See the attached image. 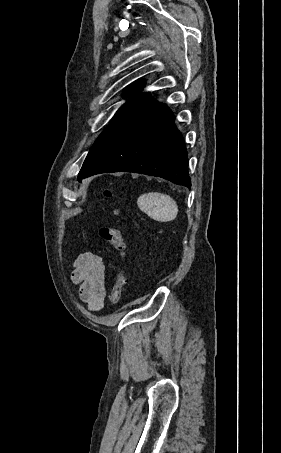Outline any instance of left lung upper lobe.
<instances>
[{
    "instance_id": "5c2ea615",
    "label": "left lung upper lobe",
    "mask_w": 281,
    "mask_h": 453,
    "mask_svg": "<svg viewBox=\"0 0 281 453\" xmlns=\"http://www.w3.org/2000/svg\"><path fill=\"white\" fill-rule=\"evenodd\" d=\"M143 82H137L130 85L125 95H130L139 91L143 87ZM145 94L141 93L129 99L115 114L110 125L101 133L99 138L96 140L92 148L90 149L82 167H85L104 146L107 140L110 138L112 133L119 127V125L130 115V113L136 108L140 101L144 98Z\"/></svg>"
}]
</instances>
